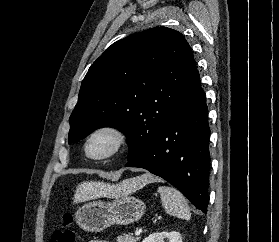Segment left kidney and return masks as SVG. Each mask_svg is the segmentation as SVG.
I'll return each mask as SVG.
<instances>
[{
	"mask_svg": "<svg viewBox=\"0 0 279 242\" xmlns=\"http://www.w3.org/2000/svg\"><path fill=\"white\" fill-rule=\"evenodd\" d=\"M165 238H167L169 242H182L181 234L176 231L153 233L142 242H164Z\"/></svg>",
	"mask_w": 279,
	"mask_h": 242,
	"instance_id": "5707ae66",
	"label": "left kidney"
}]
</instances>
